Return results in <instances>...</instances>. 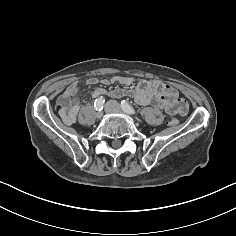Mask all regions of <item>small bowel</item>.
Masks as SVG:
<instances>
[{
    "label": "small bowel",
    "instance_id": "1",
    "mask_svg": "<svg viewBox=\"0 0 236 236\" xmlns=\"http://www.w3.org/2000/svg\"><path fill=\"white\" fill-rule=\"evenodd\" d=\"M98 82L96 78H89L86 85L91 88ZM101 83L104 85L114 83L119 85L111 92L113 97L129 96L139 105H151L171 115H185L188 112V104L184 99L179 98L178 92L172 86L159 80L141 79L136 81L133 77L116 76L112 79H104ZM133 84H135V87L130 88ZM83 93L84 90L80 88L78 82L73 81L58 97V112L65 124L70 125L75 121L79 113V103ZM92 93L94 97H97L105 94V91L101 88H93Z\"/></svg>",
    "mask_w": 236,
    "mask_h": 236
}]
</instances>
